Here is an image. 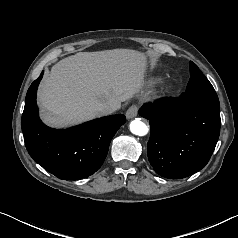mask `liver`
Masks as SVG:
<instances>
[{"mask_svg": "<svg viewBox=\"0 0 238 238\" xmlns=\"http://www.w3.org/2000/svg\"><path fill=\"white\" fill-rule=\"evenodd\" d=\"M147 69L144 53L130 49L79 52L56 63L38 90L41 118L64 127L101 116L98 107L138 94Z\"/></svg>", "mask_w": 238, "mask_h": 238, "instance_id": "obj_1", "label": "liver"}]
</instances>
